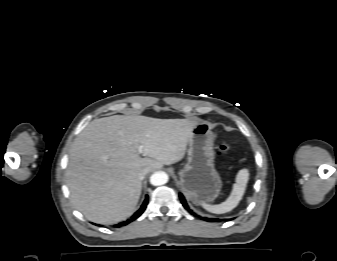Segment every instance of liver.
I'll list each match as a JSON object with an SVG mask.
<instances>
[{"instance_id": "liver-1", "label": "liver", "mask_w": 337, "mask_h": 261, "mask_svg": "<svg viewBox=\"0 0 337 261\" xmlns=\"http://www.w3.org/2000/svg\"><path fill=\"white\" fill-rule=\"evenodd\" d=\"M198 123L140 115L90 122L71 146L65 174L75 208L99 224L125 220L141 195L140 171L180 161Z\"/></svg>"}]
</instances>
